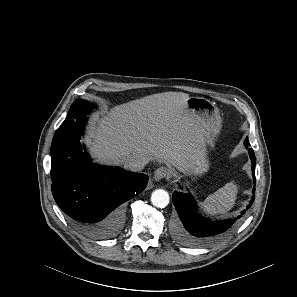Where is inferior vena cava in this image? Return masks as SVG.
Segmentation results:
<instances>
[{
    "label": "inferior vena cava",
    "mask_w": 297,
    "mask_h": 297,
    "mask_svg": "<svg viewBox=\"0 0 297 297\" xmlns=\"http://www.w3.org/2000/svg\"><path fill=\"white\" fill-rule=\"evenodd\" d=\"M148 162V158L142 154H132L124 159L123 165L126 169L139 172L143 170L145 164Z\"/></svg>",
    "instance_id": "1"
}]
</instances>
